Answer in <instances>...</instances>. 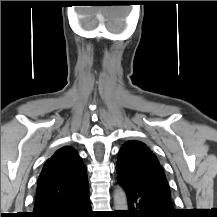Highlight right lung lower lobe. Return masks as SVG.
I'll use <instances>...</instances> for the list:
<instances>
[{
	"label": "right lung lower lobe",
	"mask_w": 217,
	"mask_h": 217,
	"mask_svg": "<svg viewBox=\"0 0 217 217\" xmlns=\"http://www.w3.org/2000/svg\"><path fill=\"white\" fill-rule=\"evenodd\" d=\"M29 217H93L88 192L34 211Z\"/></svg>",
	"instance_id": "1"
}]
</instances>
